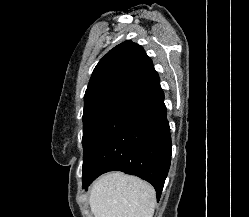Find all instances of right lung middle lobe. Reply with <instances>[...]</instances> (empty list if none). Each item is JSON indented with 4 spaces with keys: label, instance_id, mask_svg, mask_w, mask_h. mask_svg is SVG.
I'll list each match as a JSON object with an SVG mask.
<instances>
[{
    "label": "right lung middle lobe",
    "instance_id": "1",
    "mask_svg": "<svg viewBox=\"0 0 249 217\" xmlns=\"http://www.w3.org/2000/svg\"><path fill=\"white\" fill-rule=\"evenodd\" d=\"M123 94V92H107L85 101L83 113V149L86 151L91 136L111 105Z\"/></svg>",
    "mask_w": 249,
    "mask_h": 217
}]
</instances>
